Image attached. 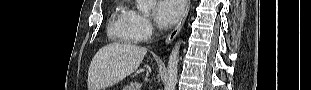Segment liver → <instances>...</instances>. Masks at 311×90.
Returning a JSON list of instances; mask_svg holds the SVG:
<instances>
[{"instance_id":"6515ba94","label":"liver","mask_w":311,"mask_h":90,"mask_svg":"<svg viewBox=\"0 0 311 90\" xmlns=\"http://www.w3.org/2000/svg\"><path fill=\"white\" fill-rule=\"evenodd\" d=\"M147 53L134 44L112 43L101 48L88 70V90L113 86L135 72Z\"/></svg>"}]
</instances>
